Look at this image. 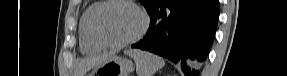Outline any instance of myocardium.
I'll return each mask as SVG.
<instances>
[{"instance_id": "f54148a6", "label": "myocardium", "mask_w": 287, "mask_h": 76, "mask_svg": "<svg viewBox=\"0 0 287 76\" xmlns=\"http://www.w3.org/2000/svg\"><path fill=\"white\" fill-rule=\"evenodd\" d=\"M115 3H125L127 5H130L134 9H136L139 14L142 17V25L139 31L132 37L121 40V41H108L104 39L97 30V20L101 12L108 7L109 5L115 4ZM149 16L148 13L145 11L144 8H142L140 5H138L136 2L132 0H106L101 1V3L95 8L93 13L91 14L90 20H89V32L92 37V39L102 48H121L128 45H131L133 43H136L139 41L147 32L149 28Z\"/></svg>"}]
</instances>
